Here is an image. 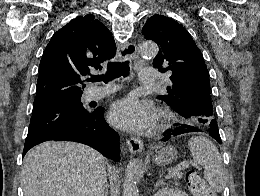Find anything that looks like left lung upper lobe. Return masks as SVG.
Listing matches in <instances>:
<instances>
[{"instance_id":"left-lung-upper-lobe-1","label":"left lung upper lobe","mask_w":260,"mask_h":196,"mask_svg":"<svg viewBox=\"0 0 260 196\" xmlns=\"http://www.w3.org/2000/svg\"><path fill=\"white\" fill-rule=\"evenodd\" d=\"M142 34L159 46V52L153 61L154 67L162 73H172V85L158 98L187 119L188 123L209 130L210 124L215 120V113L206 117L189 114L198 108L213 110L208 70L191 35L172 18L158 14L147 20Z\"/></svg>"}]
</instances>
